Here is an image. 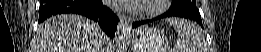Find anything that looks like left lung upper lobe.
Masks as SVG:
<instances>
[{
  "mask_svg": "<svg viewBox=\"0 0 261 52\" xmlns=\"http://www.w3.org/2000/svg\"><path fill=\"white\" fill-rule=\"evenodd\" d=\"M172 10H184L201 18L199 10L196 7L195 0H173Z\"/></svg>",
  "mask_w": 261,
  "mask_h": 52,
  "instance_id": "left-lung-upper-lobe-1",
  "label": "left lung upper lobe"
}]
</instances>
